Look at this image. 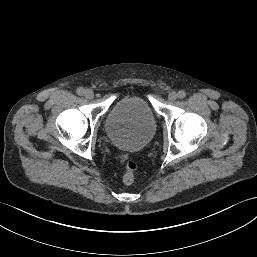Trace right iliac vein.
Instances as JSON below:
<instances>
[{
  "mask_svg": "<svg viewBox=\"0 0 257 257\" xmlns=\"http://www.w3.org/2000/svg\"><path fill=\"white\" fill-rule=\"evenodd\" d=\"M84 96L87 98V99H93L94 97V92L91 90V89H86L84 91Z\"/></svg>",
  "mask_w": 257,
  "mask_h": 257,
  "instance_id": "right-iliac-vein-1",
  "label": "right iliac vein"
}]
</instances>
